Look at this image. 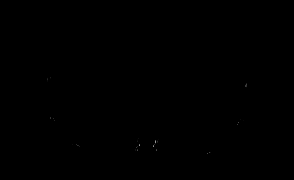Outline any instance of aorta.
Here are the masks:
<instances>
[{
    "label": "aorta",
    "mask_w": 294,
    "mask_h": 180,
    "mask_svg": "<svg viewBox=\"0 0 294 180\" xmlns=\"http://www.w3.org/2000/svg\"><path fill=\"white\" fill-rule=\"evenodd\" d=\"M157 107L158 111H163L166 109V104L162 102V104L160 103Z\"/></svg>",
    "instance_id": "1"
}]
</instances>
